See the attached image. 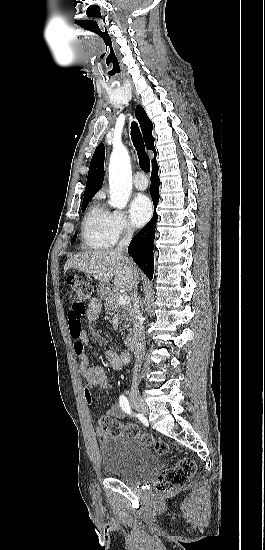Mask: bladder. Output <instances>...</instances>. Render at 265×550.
Returning <instances> with one entry per match:
<instances>
[{"instance_id": "obj_1", "label": "bladder", "mask_w": 265, "mask_h": 550, "mask_svg": "<svg viewBox=\"0 0 265 550\" xmlns=\"http://www.w3.org/2000/svg\"><path fill=\"white\" fill-rule=\"evenodd\" d=\"M99 455L106 472L128 483L141 481L158 465L150 445L131 437H112L100 446Z\"/></svg>"}]
</instances>
